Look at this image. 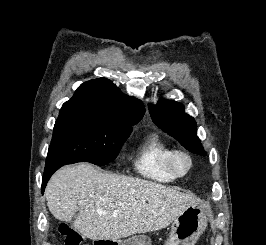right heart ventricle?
<instances>
[{
  "instance_id": "e07e8e85",
  "label": "right heart ventricle",
  "mask_w": 266,
  "mask_h": 245,
  "mask_svg": "<svg viewBox=\"0 0 266 245\" xmlns=\"http://www.w3.org/2000/svg\"><path fill=\"white\" fill-rule=\"evenodd\" d=\"M173 149V145L158 132L147 134L134 148L136 172L152 183H174L179 178L169 166V156Z\"/></svg>"
}]
</instances>
